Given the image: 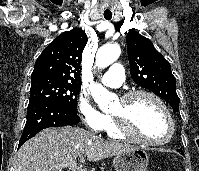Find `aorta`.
Returning a JSON list of instances; mask_svg holds the SVG:
<instances>
[{
    "label": "aorta",
    "mask_w": 199,
    "mask_h": 171,
    "mask_svg": "<svg viewBox=\"0 0 199 171\" xmlns=\"http://www.w3.org/2000/svg\"><path fill=\"white\" fill-rule=\"evenodd\" d=\"M120 53V47L116 44H110L101 47L96 54V66L99 68H105L109 66L118 59ZM90 91L95 102L102 110L108 109L115 100V95L109 92L101 84H92Z\"/></svg>",
    "instance_id": "1"
}]
</instances>
